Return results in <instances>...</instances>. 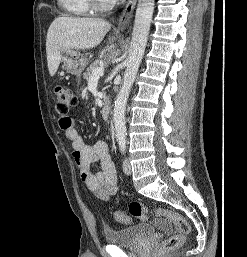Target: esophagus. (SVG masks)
Listing matches in <instances>:
<instances>
[{
  "instance_id": "esophagus-1",
  "label": "esophagus",
  "mask_w": 247,
  "mask_h": 257,
  "mask_svg": "<svg viewBox=\"0 0 247 257\" xmlns=\"http://www.w3.org/2000/svg\"><path fill=\"white\" fill-rule=\"evenodd\" d=\"M137 0H128L117 23V31H125L131 22Z\"/></svg>"
}]
</instances>
